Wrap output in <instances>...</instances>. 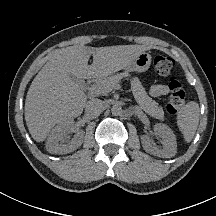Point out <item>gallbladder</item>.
I'll return each mask as SVG.
<instances>
[{
    "instance_id": "1",
    "label": "gallbladder",
    "mask_w": 216,
    "mask_h": 216,
    "mask_svg": "<svg viewBox=\"0 0 216 216\" xmlns=\"http://www.w3.org/2000/svg\"><path fill=\"white\" fill-rule=\"evenodd\" d=\"M69 77H70L73 81H75V82H80V80H79L76 76H74V75H72V74H69Z\"/></svg>"
}]
</instances>
